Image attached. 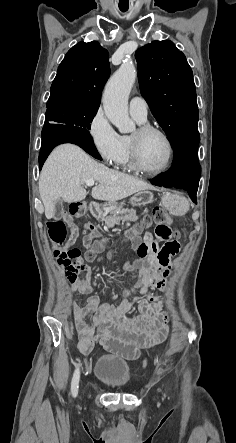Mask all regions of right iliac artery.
<instances>
[{"instance_id": "1", "label": "right iliac artery", "mask_w": 236, "mask_h": 443, "mask_svg": "<svg viewBox=\"0 0 236 443\" xmlns=\"http://www.w3.org/2000/svg\"><path fill=\"white\" fill-rule=\"evenodd\" d=\"M79 378H80V371H79V368H77L74 372L72 382H71V391H72L73 397H76L77 393H78Z\"/></svg>"}]
</instances>
